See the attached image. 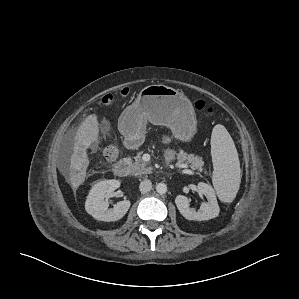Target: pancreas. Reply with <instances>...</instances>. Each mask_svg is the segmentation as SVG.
I'll return each mask as SVG.
<instances>
[{
	"label": "pancreas",
	"instance_id": "cf45deb5",
	"mask_svg": "<svg viewBox=\"0 0 299 299\" xmlns=\"http://www.w3.org/2000/svg\"><path fill=\"white\" fill-rule=\"evenodd\" d=\"M128 161L131 166V172L135 176H142L144 174L151 173L152 168L147 166V163H145L140 155H137L134 157V161L131 158H128ZM190 164V167L193 170H197L199 172H202L204 170V162L201 157L193 154H187L183 151H180L177 154V163Z\"/></svg>",
	"mask_w": 299,
	"mask_h": 299
}]
</instances>
